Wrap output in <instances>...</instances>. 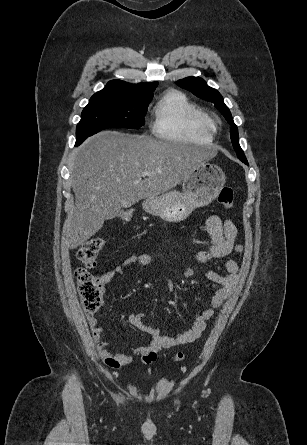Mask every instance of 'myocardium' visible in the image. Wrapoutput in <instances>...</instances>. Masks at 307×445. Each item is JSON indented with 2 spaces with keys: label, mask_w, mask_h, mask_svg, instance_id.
Wrapping results in <instances>:
<instances>
[{
  "label": "myocardium",
  "mask_w": 307,
  "mask_h": 445,
  "mask_svg": "<svg viewBox=\"0 0 307 445\" xmlns=\"http://www.w3.org/2000/svg\"><path fill=\"white\" fill-rule=\"evenodd\" d=\"M209 123L212 132L216 133L221 129L222 123L219 119H211Z\"/></svg>",
  "instance_id": "f54148a6"
}]
</instances>
